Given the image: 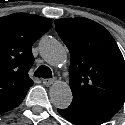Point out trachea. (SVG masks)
<instances>
[{
  "label": "trachea",
  "mask_w": 125,
  "mask_h": 125,
  "mask_svg": "<svg viewBox=\"0 0 125 125\" xmlns=\"http://www.w3.org/2000/svg\"><path fill=\"white\" fill-rule=\"evenodd\" d=\"M34 76L41 78H52V71L48 66L42 65L35 71Z\"/></svg>",
  "instance_id": "obj_1"
}]
</instances>
